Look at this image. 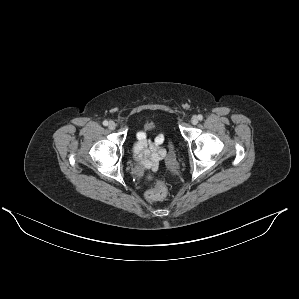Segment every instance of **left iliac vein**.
Masks as SVG:
<instances>
[{"label":"left iliac vein","instance_id":"1","mask_svg":"<svg viewBox=\"0 0 299 299\" xmlns=\"http://www.w3.org/2000/svg\"><path fill=\"white\" fill-rule=\"evenodd\" d=\"M191 123H192L193 125H196V124L198 123V117H197V116H193V117L191 118Z\"/></svg>","mask_w":299,"mask_h":299}]
</instances>
